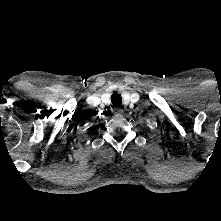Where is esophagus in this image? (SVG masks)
Returning a JSON list of instances; mask_svg holds the SVG:
<instances>
[{
  "instance_id": "34e87169",
  "label": "esophagus",
  "mask_w": 221,
  "mask_h": 221,
  "mask_svg": "<svg viewBox=\"0 0 221 221\" xmlns=\"http://www.w3.org/2000/svg\"><path fill=\"white\" fill-rule=\"evenodd\" d=\"M113 111H114V113L117 114V115H120V114L123 113V109L120 108V107H115Z\"/></svg>"
}]
</instances>
